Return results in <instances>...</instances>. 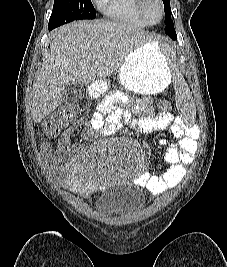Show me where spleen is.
Wrapping results in <instances>:
<instances>
[{
    "instance_id": "1",
    "label": "spleen",
    "mask_w": 227,
    "mask_h": 267,
    "mask_svg": "<svg viewBox=\"0 0 227 267\" xmlns=\"http://www.w3.org/2000/svg\"><path fill=\"white\" fill-rule=\"evenodd\" d=\"M171 36H154V41H171ZM154 47H166L164 55H177V46L175 42H154ZM175 72H182V67H175ZM175 81H188V76H175ZM173 87L177 93H174V98H186L187 100H173V105H194L193 93H188L190 82H173ZM176 111L179 115H196L195 106H176ZM181 120L184 125H189V129H196L195 121L197 116H182Z\"/></svg>"
}]
</instances>
